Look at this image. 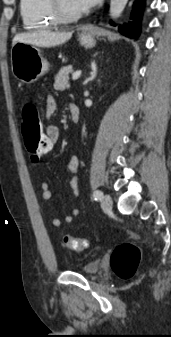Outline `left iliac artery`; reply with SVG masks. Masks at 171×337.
<instances>
[{"label":"left iliac artery","instance_id":"1","mask_svg":"<svg viewBox=\"0 0 171 337\" xmlns=\"http://www.w3.org/2000/svg\"><path fill=\"white\" fill-rule=\"evenodd\" d=\"M93 197L96 201H100L103 198V193L100 190H96L93 193Z\"/></svg>","mask_w":171,"mask_h":337}]
</instances>
